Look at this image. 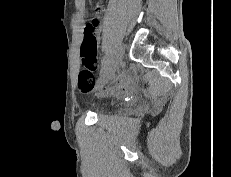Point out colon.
<instances>
[{
	"label": "colon",
	"instance_id": "1",
	"mask_svg": "<svg viewBox=\"0 0 231 177\" xmlns=\"http://www.w3.org/2000/svg\"><path fill=\"white\" fill-rule=\"evenodd\" d=\"M97 34L94 28L87 26L84 32V39L80 49V57L83 68L78 77V87L80 91L86 93L95 88L94 72L97 69Z\"/></svg>",
	"mask_w": 231,
	"mask_h": 177
}]
</instances>
